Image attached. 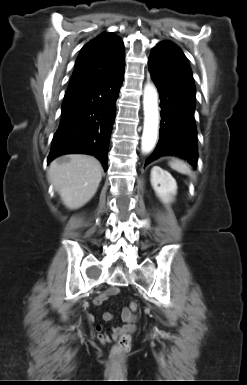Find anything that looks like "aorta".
I'll list each match as a JSON object with an SVG mask.
<instances>
[{"instance_id":"1","label":"aorta","mask_w":247,"mask_h":385,"mask_svg":"<svg viewBox=\"0 0 247 385\" xmlns=\"http://www.w3.org/2000/svg\"><path fill=\"white\" fill-rule=\"evenodd\" d=\"M144 127L141 151L147 154L156 145L159 131L158 92L154 84L146 83L143 93Z\"/></svg>"}]
</instances>
